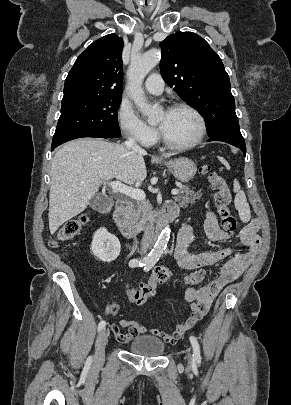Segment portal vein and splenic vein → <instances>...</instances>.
Masks as SVG:
<instances>
[{
	"mask_svg": "<svg viewBox=\"0 0 291 405\" xmlns=\"http://www.w3.org/2000/svg\"><path fill=\"white\" fill-rule=\"evenodd\" d=\"M114 191L120 192L122 194H125L126 196H129L135 200L142 201L146 198V195L144 191L136 188H132L130 186H127L125 184H122L120 181H113V182H108L107 183ZM179 193L178 189H173L171 191L172 195H177Z\"/></svg>",
	"mask_w": 291,
	"mask_h": 405,
	"instance_id": "obj_1",
	"label": "portal vein and splenic vein"
}]
</instances>
